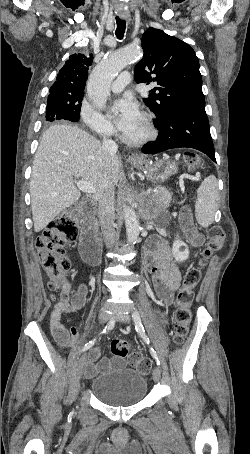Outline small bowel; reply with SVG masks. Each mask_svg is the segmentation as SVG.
<instances>
[{"instance_id":"small-bowel-1","label":"small bowel","mask_w":250,"mask_h":454,"mask_svg":"<svg viewBox=\"0 0 250 454\" xmlns=\"http://www.w3.org/2000/svg\"><path fill=\"white\" fill-rule=\"evenodd\" d=\"M179 221L181 230L189 243L194 247L200 246L203 242V236L195 229L188 208H183L180 211ZM145 262L151 274V280L157 298L163 305H170L173 293L178 288L182 275L179 262L175 257L171 244L158 237L150 239L146 245ZM87 294V286L81 284L72 294L69 301L57 303L51 312V333L62 349L75 346L78 342L77 329L74 326L66 328L61 321L62 315L83 308L86 303ZM157 314L161 315L164 323H167L164 313L158 312ZM110 364L111 361L108 358H101V349L94 347L90 351L84 365L85 376L87 378H93L98 373L108 370Z\"/></svg>"}]
</instances>
